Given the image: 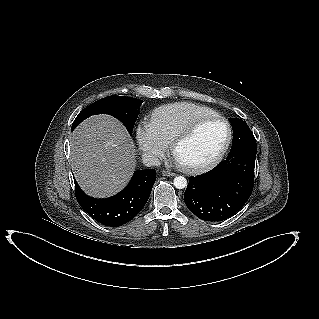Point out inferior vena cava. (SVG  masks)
I'll use <instances>...</instances> for the list:
<instances>
[{"instance_id": "obj_1", "label": "inferior vena cava", "mask_w": 319, "mask_h": 319, "mask_svg": "<svg viewBox=\"0 0 319 319\" xmlns=\"http://www.w3.org/2000/svg\"><path fill=\"white\" fill-rule=\"evenodd\" d=\"M142 160H143V163L146 166H148V167H150V166H160V164H161L160 160L156 156H154L152 154L144 153L142 155Z\"/></svg>"}]
</instances>
